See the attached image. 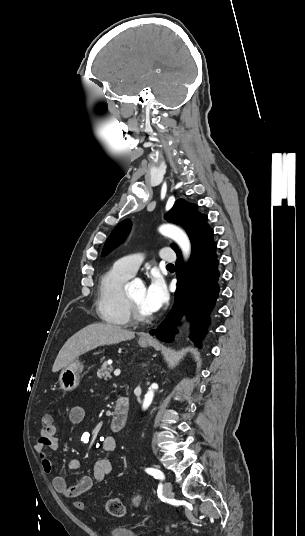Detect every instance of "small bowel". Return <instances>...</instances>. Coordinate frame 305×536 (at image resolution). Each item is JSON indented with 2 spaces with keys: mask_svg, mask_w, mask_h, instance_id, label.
Masks as SVG:
<instances>
[{
  "mask_svg": "<svg viewBox=\"0 0 305 536\" xmlns=\"http://www.w3.org/2000/svg\"><path fill=\"white\" fill-rule=\"evenodd\" d=\"M85 409L82 406H73L68 413L69 421L73 424H80L85 419ZM99 447L106 453H113L116 450V440L111 436H103L98 440ZM61 446L57 427L52 423L51 427H42L40 435L34 446L35 451L40 456L42 469L45 473L50 474L53 471V464L47 454V450H58ZM84 462L81 459H71L67 463L69 471L79 470ZM113 470L112 462L107 458H98L92 465V476H82L75 485H68L62 476H54L52 485L54 490L67 497V495H80L89 490L93 482H101Z\"/></svg>",
  "mask_w": 305,
  "mask_h": 536,
  "instance_id": "1",
  "label": "small bowel"
}]
</instances>
